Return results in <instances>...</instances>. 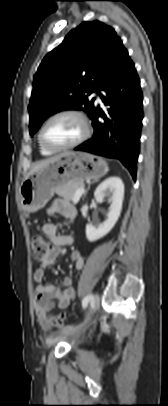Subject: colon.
<instances>
[{
	"instance_id": "5ec220e1",
	"label": "colon",
	"mask_w": 168,
	"mask_h": 406,
	"mask_svg": "<svg viewBox=\"0 0 168 406\" xmlns=\"http://www.w3.org/2000/svg\"><path fill=\"white\" fill-rule=\"evenodd\" d=\"M32 249L35 261L44 262L49 258L53 250V245L45 238L36 235L32 238ZM49 322L56 327H62L65 325V315H51L49 317Z\"/></svg>"
}]
</instances>
